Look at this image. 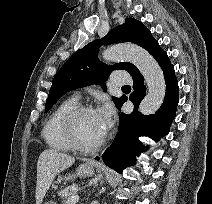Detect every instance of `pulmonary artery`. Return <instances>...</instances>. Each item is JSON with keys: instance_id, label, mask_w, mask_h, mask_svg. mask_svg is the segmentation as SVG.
I'll list each match as a JSON object with an SVG mask.
<instances>
[{"instance_id": "pulmonary-artery-1", "label": "pulmonary artery", "mask_w": 212, "mask_h": 204, "mask_svg": "<svg viewBox=\"0 0 212 204\" xmlns=\"http://www.w3.org/2000/svg\"><path fill=\"white\" fill-rule=\"evenodd\" d=\"M130 82V77L124 73H116L112 77V84L115 86H121Z\"/></svg>"}]
</instances>
